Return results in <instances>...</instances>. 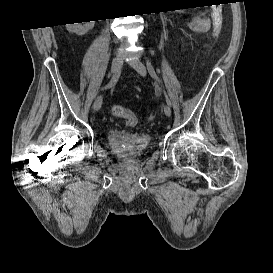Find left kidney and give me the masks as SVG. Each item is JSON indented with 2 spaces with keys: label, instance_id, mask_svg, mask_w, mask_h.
<instances>
[{
  "label": "left kidney",
  "instance_id": "1",
  "mask_svg": "<svg viewBox=\"0 0 273 273\" xmlns=\"http://www.w3.org/2000/svg\"><path fill=\"white\" fill-rule=\"evenodd\" d=\"M177 12H179V11H183V10H176Z\"/></svg>",
  "mask_w": 273,
  "mask_h": 273
}]
</instances>
